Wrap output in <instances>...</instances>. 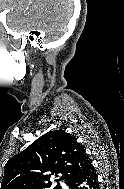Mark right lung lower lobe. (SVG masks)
<instances>
[{
	"label": "right lung lower lobe",
	"mask_w": 124,
	"mask_h": 189,
	"mask_svg": "<svg viewBox=\"0 0 124 189\" xmlns=\"http://www.w3.org/2000/svg\"><path fill=\"white\" fill-rule=\"evenodd\" d=\"M70 189H100L97 174L91 162L80 173L66 181Z\"/></svg>",
	"instance_id": "98d812e1"
}]
</instances>
